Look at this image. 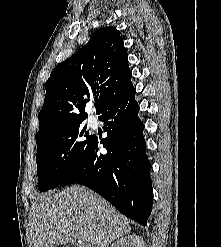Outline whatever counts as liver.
I'll return each mask as SVG.
<instances>
[{
  "label": "liver",
  "instance_id": "1",
  "mask_svg": "<svg viewBox=\"0 0 221 247\" xmlns=\"http://www.w3.org/2000/svg\"><path fill=\"white\" fill-rule=\"evenodd\" d=\"M30 227L32 247H108L131 232L127 218L81 186L40 196L32 207Z\"/></svg>",
  "mask_w": 221,
  "mask_h": 247
}]
</instances>
